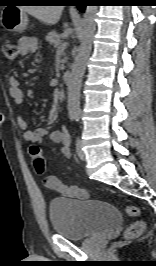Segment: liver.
<instances>
[{
    "label": "liver",
    "mask_w": 156,
    "mask_h": 266,
    "mask_svg": "<svg viewBox=\"0 0 156 266\" xmlns=\"http://www.w3.org/2000/svg\"><path fill=\"white\" fill-rule=\"evenodd\" d=\"M20 9L45 24L54 25L60 19L63 6H23Z\"/></svg>",
    "instance_id": "6515ba94"
}]
</instances>
